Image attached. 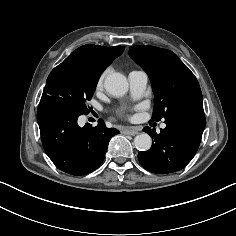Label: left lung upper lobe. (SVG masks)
<instances>
[{
  "instance_id": "obj_1",
  "label": "left lung upper lobe",
  "mask_w": 236,
  "mask_h": 236,
  "mask_svg": "<svg viewBox=\"0 0 236 236\" xmlns=\"http://www.w3.org/2000/svg\"><path fill=\"white\" fill-rule=\"evenodd\" d=\"M129 55L150 78L155 95L151 121L187 106L203 107L196 77L175 53L154 46H131Z\"/></svg>"
}]
</instances>
